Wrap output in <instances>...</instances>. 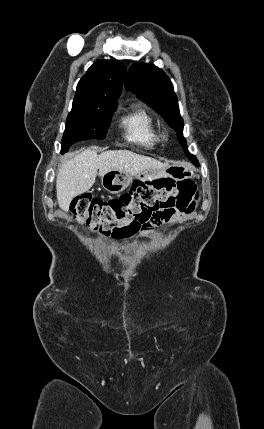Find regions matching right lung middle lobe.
Instances as JSON below:
<instances>
[{
  "label": "right lung middle lobe",
  "mask_w": 264,
  "mask_h": 429,
  "mask_svg": "<svg viewBox=\"0 0 264 429\" xmlns=\"http://www.w3.org/2000/svg\"><path fill=\"white\" fill-rule=\"evenodd\" d=\"M117 103L73 101L62 139V152L81 140L104 139Z\"/></svg>",
  "instance_id": "1"
}]
</instances>
